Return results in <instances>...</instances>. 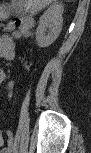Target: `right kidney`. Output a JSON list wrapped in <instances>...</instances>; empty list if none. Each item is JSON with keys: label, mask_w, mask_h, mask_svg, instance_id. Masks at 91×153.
Returning a JSON list of instances; mask_svg holds the SVG:
<instances>
[{"label": "right kidney", "mask_w": 91, "mask_h": 153, "mask_svg": "<svg viewBox=\"0 0 91 153\" xmlns=\"http://www.w3.org/2000/svg\"><path fill=\"white\" fill-rule=\"evenodd\" d=\"M63 5L53 3L40 17L36 30V40L39 47L50 46L59 36L63 24Z\"/></svg>", "instance_id": "right-kidney-1"}]
</instances>
